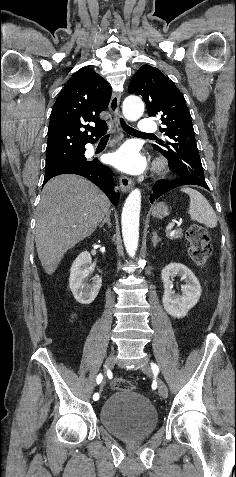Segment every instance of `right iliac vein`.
<instances>
[{"label": "right iliac vein", "mask_w": 236, "mask_h": 477, "mask_svg": "<svg viewBox=\"0 0 236 477\" xmlns=\"http://www.w3.org/2000/svg\"><path fill=\"white\" fill-rule=\"evenodd\" d=\"M114 359H115V356H114V351H112L106 361V370H109L112 368L113 366V363H114ZM99 396L101 397V399H104V396H103V391L104 389L106 388L105 385L101 384L99 385Z\"/></svg>", "instance_id": "1"}]
</instances>
